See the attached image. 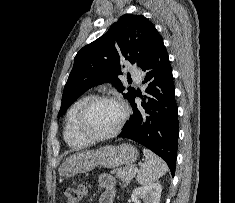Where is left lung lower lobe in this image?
Segmentation results:
<instances>
[{"instance_id": "0a47b994", "label": "left lung lower lobe", "mask_w": 235, "mask_h": 203, "mask_svg": "<svg viewBox=\"0 0 235 203\" xmlns=\"http://www.w3.org/2000/svg\"><path fill=\"white\" fill-rule=\"evenodd\" d=\"M141 69L146 73L143 84L149 95L138 108L134 96L130 99L133 115L123 127L118 137L132 139L165 160L172 176L178 146V110L172 69L162 38L156 43L152 53Z\"/></svg>"}]
</instances>
